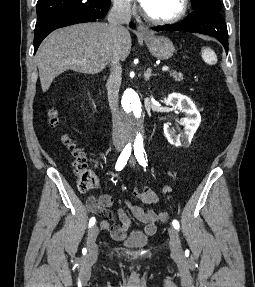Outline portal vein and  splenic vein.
Instances as JSON below:
<instances>
[{"label": "portal vein and splenic vein", "instance_id": "18ae733b", "mask_svg": "<svg viewBox=\"0 0 255 287\" xmlns=\"http://www.w3.org/2000/svg\"><path fill=\"white\" fill-rule=\"evenodd\" d=\"M166 70H169L168 66H164V68H162V72H166Z\"/></svg>", "mask_w": 255, "mask_h": 287}]
</instances>
